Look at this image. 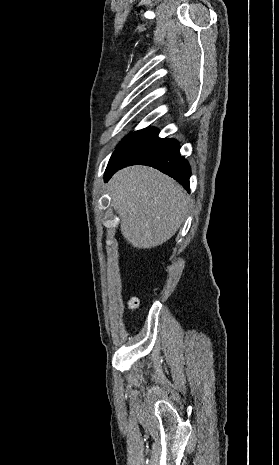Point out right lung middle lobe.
<instances>
[{
  "label": "right lung middle lobe",
  "instance_id": "1",
  "mask_svg": "<svg viewBox=\"0 0 279 465\" xmlns=\"http://www.w3.org/2000/svg\"><path fill=\"white\" fill-rule=\"evenodd\" d=\"M178 142L175 139H161L158 130L146 128L131 133L117 146L108 166H129L143 163L164 153Z\"/></svg>",
  "mask_w": 279,
  "mask_h": 465
}]
</instances>
